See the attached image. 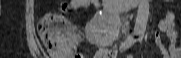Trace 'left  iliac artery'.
<instances>
[{
	"label": "left iliac artery",
	"instance_id": "left-iliac-artery-1",
	"mask_svg": "<svg viewBox=\"0 0 181 58\" xmlns=\"http://www.w3.org/2000/svg\"><path fill=\"white\" fill-rule=\"evenodd\" d=\"M142 38H143V35H141V36H140V39H139V40L141 41V40H142Z\"/></svg>",
	"mask_w": 181,
	"mask_h": 58
}]
</instances>
